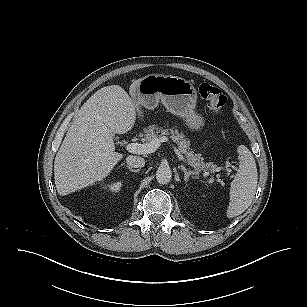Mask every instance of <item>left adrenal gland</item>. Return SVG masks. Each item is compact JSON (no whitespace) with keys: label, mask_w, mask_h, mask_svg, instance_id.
Here are the masks:
<instances>
[{"label":"left adrenal gland","mask_w":307,"mask_h":307,"mask_svg":"<svg viewBox=\"0 0 307 307\" xmlns=\"http://www.w3.org/2000/svg\"><path fill=\"white\" fill-rule=\"evenodd\" d=\"M181 170L184 172V180L187 182L190 175H194L195 172L187 170L183 165H181Z\"/></svg>","instance_id":"a2214340"}]
</instances>
